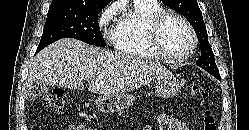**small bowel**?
<instances>
[{"label": "small bowel", "instance_id": "obj_1", "mask_svg": "<svg viewBox=\"0 0 249 130\" xmlns=\"http://www.w3.org/2000/svg\"><path fill=\"white\" fill-rule=\"evenodd\" d=\"M157 125L160 130H190L187 124L181 119L167 114L158 116ZM63 130H95L81 124H72L65 127ZM142 130H153L150 125L145 126Z\"/></svg>", "mask_w": 249, "mask_h": 130}]
</instances>
